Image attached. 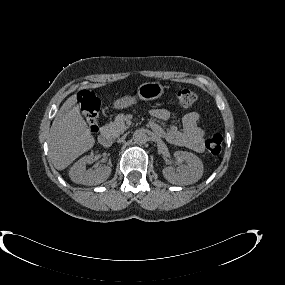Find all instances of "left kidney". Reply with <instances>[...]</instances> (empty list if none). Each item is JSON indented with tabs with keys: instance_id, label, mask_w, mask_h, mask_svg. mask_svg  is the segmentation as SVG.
<instances>
[{
	"instance_id": "1",
	"label": "left kidney",
	"mask_w": 285,
	"mask_h": 285,
	"mask_svg": "<svg viewBox=\"0 0 285 285\" xmlns=\"http://www.w3.org/2000/svg\"><path fill=\"white\" fill-rule=\"evenodd\" d=\"M174 157L177 161H184L185 163L179 171H175L173 167L163 169V176L168 182L175 185H189L201 178L203 164L199 157L187 151H176Z\"/></svg>"
}]
</instances>
